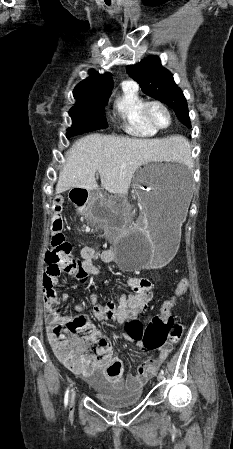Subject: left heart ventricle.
<instances>
[{
    "instance_id": "b2bd125f",
    "label": "left heart ventricle",
    "mask_w": 233,
    "mask_h": 449,
    "mask_svg": "<svg viewBox=\"0 0 233 449\" xmlns=\"http://www.w3.org/2000/svg\"><path fill=\"white\" fill-rule=\"evenodd\" d=\"M151 119L158 126H165L168 123V116L166 112L159 106H153L150 110Z\"/></svg>"
}]
</instances>
